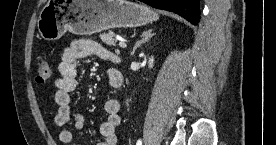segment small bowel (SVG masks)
<instances>
[{
  "label": "small bowel",
  "instance_id": "c3829d8e",
  "mask_svg": "<svg viewBox=\"0 0 276 145\" xmlns=\"http://www.w3.org/2000/svg\"><path fill=\"white\" fill-rule=\"evenodd\" d=\"M93 54L108 61L115 59V55L109 49L90 39L74 40L62 52V59L59 64L60 77L55 81L54 102L57 112L54 122L60 129L59 140L63 144L74 145L72 133L67 128L70 122L76 130L82 129L85 125V119L82 114L75 113L72 115L71 93L77 88L79 61ZM117 72L115 69L107 70L110 84ZM104 110L106 119L100 126L103 140L99 145H117L115 129L121 122L119 101L115 98L107 99L104 104Z\"/></svg>",
  "mask_w": 276,
  "mask_h": 145
}]
</instances>
